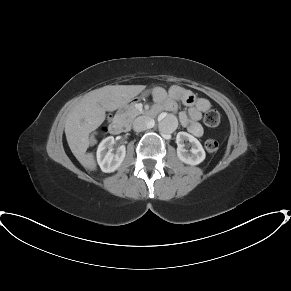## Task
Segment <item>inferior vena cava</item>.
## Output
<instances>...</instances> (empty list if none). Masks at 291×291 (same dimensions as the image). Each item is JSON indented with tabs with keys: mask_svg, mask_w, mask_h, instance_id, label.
I'll return each instance as SVG.
<instances>
[{
	"mask_svg": "<svg viewBox=\"0 0 291 291\" xmlns=\"http://www.w3.org/2000/svg\"><path fill=\"white\" fill-rule=\"evenodd\" d=\"M153 125V120L148 116L137 117L133 122V129L136 132H141L146 129L151 128Z\"/></svg>",
	"mask_w": 291,
	"mask_h": 291,
	"instance_id": "inferior-vena-cava-1",
	"label": "inferior vena cava"
}]
</instances>
